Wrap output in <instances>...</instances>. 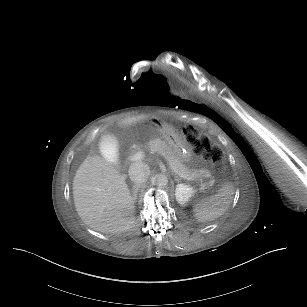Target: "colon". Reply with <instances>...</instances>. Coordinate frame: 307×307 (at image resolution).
<instances>
[{
    "mask_svg": "<svg viewBox=\"0 0 307 307\" xmlns=\"http://www.w3.org/2000/svg\"><path fill=\"white\" fill-rule=\"evenodd\" d=\"M184 139L195 149L203 154L204 161L212 167H220L223 164L222 152L212 146L205 136H200L198 131L191 127H186Z\"/></svg>",
    "mask_w": 307,
    "mask_h": 307,
    "instance_id": "colon-1",
    "label": "colon"
}]
</instances>
